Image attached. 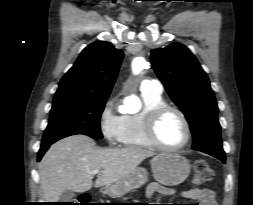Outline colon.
<instances>
[{
  "mask_svg": "<svg viewBox=\"0 0 253 205\" xmlns=\"http://www.w3.org/2000/svg\"><path fill=\"white\" fill-rule=\"evenodd\" d=\"M214 177L213 170L205 160H197L193 167V183L202 185L211 181ZM89 197L81 195L74 199L69 205H88Z\"/></svg>",
  "mask_w": 253,
  "mask_h": 205,
  "instance_id": "1",
  "label": "colon"
}]
</instances>
